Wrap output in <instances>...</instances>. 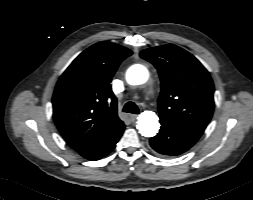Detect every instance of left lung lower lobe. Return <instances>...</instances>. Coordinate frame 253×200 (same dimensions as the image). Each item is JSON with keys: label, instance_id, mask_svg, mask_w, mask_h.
<instances>
[{"label": "left lung lower lobe", "instance_id": "left-lung-lower-lobe-1", "mask_svg": "<svg viewBox=\"0 0 253 200\" xmlns=\"http://www.w3.org/2000/svg\"><path fill=\"white\" fill-rule=\"evenodd\" d=\"M159 118L160 131L150 138V146L165 156H177L189 150L204 132L200 127L170 116L159 115Z\"/></svg>", "mask_w": 253, "mask_h": 200}]
</instances>
